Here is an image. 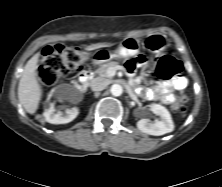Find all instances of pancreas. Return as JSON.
Here are the masks:
<instances>
[{"instance_id":"cf45deb5","label":"pancreas","mask_w":222,"mask_h":187,"mask_svg":"<svg viewBox=\"0 0 222 187\" xmlns=\"http://www.w3.org/2000/svg\"><path fill=\"white\" fill-rule=\"evenodd\" d=\"M119 65L117 62H108V63H105L103 65L100 66L99 69L96 70V73L100 76V77H103V78H109V74H108V70L110 68H118Z\"/></svg>"}]
</instances>
